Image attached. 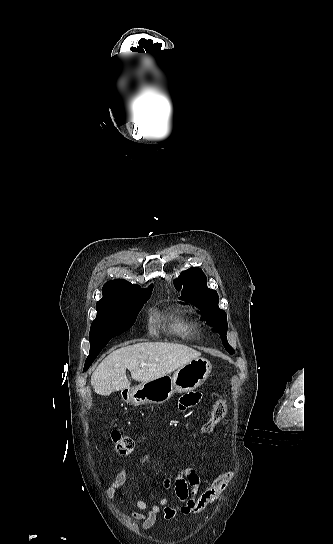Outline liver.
I'll return each instance as SVG.
<instances>
[{
  "label": "liver",
  "instance_id": "6515ba94",
  "mask_svg": "<svg viewBox=\"0 0 333 544\" xmlns=\"http://www.w3.org/2000/svg\"><path fill=\"white\" fill-rule=\"evenodd\" d=\"M201 353L182 344L168 342H145L121 347L111 352L91 376L95 392L108 396L114 391L130 388L126 369L134 380L146 383L165 376ZM142 363L146 365L140 367Z\"/></svg>",
  "mask_w": 333,
  "mask_h": 544
}]
</instances>
